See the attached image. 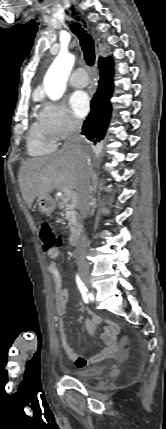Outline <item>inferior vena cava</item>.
Returning a JSON list of instances; mask_svg holds the SVG:
<instances>
[{
  "mask_svg": "<svg viewBox=\"0 0 166 429\" xmlns=\"http://www.w3.org/2000/svg\"><path fill=\"white\" fill-rule=\"evenodd\" d=\"M80 132L81 123L77 120H70L67 127V138L63 148L71 150L81 159L77 185V198L80 213L83 218H86L89 214L91 168L89 157L82 152V138ZM86 248L87 237L83 234L75 249V257L77 260L85 259Z\"/></svg>",
  "mask_w": 166,
  "mask_h": 429,
  "instance_id": "1",
  "label": "inferior vena cava"
}]
</instances>
